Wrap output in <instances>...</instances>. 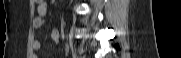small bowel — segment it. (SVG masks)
<instances>
[{
	"label": "small bowel",
	"mask_w": 181,
	"mask_h": 58,
	"mask_svg": "<svg viewBox=\"0 0 181 58\" xmlns=\"http://www.w3.org/2000/svg\"><path fill=\"white\" fill-rule=\"evenodd\" d=\"M45 12H46V3L44 1H39L38 2V16L35 17V19L33 20V28L35 30H40L44 26ZM51 38L54 41H58L60 38L59 32L53 31L51 34ZM32 46H33V49L37 51L40 49V42L38 40H34Z\"/></svg>",
	"instance_id": "small-bowel-1"
}]
</instances>
